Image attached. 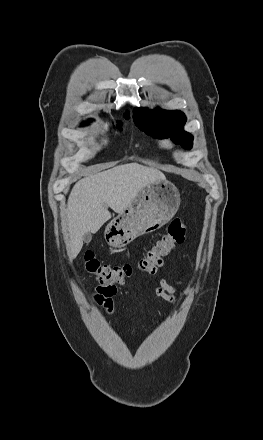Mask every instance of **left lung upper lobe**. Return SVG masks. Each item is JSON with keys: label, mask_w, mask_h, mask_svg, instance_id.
I'll return each mask as SVG.
<instances>
[{"label": "left lung upper lobe", "mask_w": 263, "mask_h": 440, "mask_svg": "<svg viewBox=\"0 0 263 440\" xmlns=\"http://www.w3.org/2000/svg\"><path fill=\"white\" fill-rule=\"evenodd\" d=\"M134 121L141 130L153 137H171L175 143L186 149L192 147L193 136L182 130L186 117L181 111L137 108Z\"/></svg>", "instance_id": "5c2ea615"}]
</instances>
